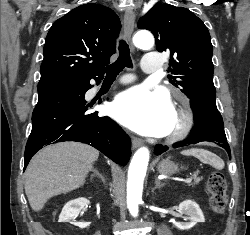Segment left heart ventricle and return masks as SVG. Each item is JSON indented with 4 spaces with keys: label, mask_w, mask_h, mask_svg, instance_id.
<instances>
[{
    "label": "left heart ventricle",
    "mask_w": 250,
    "mask_h": 235,
    "mask_svg": "<svg viewBox=\"0 0 250 235\" xmlns=\"http://www.w3.org/2000/svg\"><path fill=\"white\" fill-rule=\"evenodd\" d=\"M177 117H176V115H175V113H174V115H173V117H172V123H171V128H170V130H169V132L168 133H170L171 131H173L174 129H175V127L177 126Z\"/></svg>",
    "instance_id": "b2bd125f"
}]
</instances>
